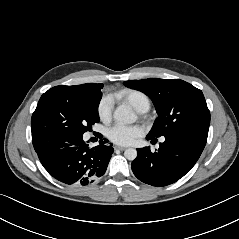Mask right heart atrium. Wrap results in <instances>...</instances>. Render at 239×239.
I'll return each mask as SVG.
<instances>
[{
  "mask_svg": "<svg viewBox=\"0 0 239 239\" xmlns=\"http://www.w3.org/2000/svg\"><path fill=\"white\" fill-rule=\"evenodd\" d=\"M97 114L101 121L108 122L112 114V99L103 97L98 104Z\"/></svg>",
  "mask_w": 239,
  "mask_h": 239,
  "instance_id": "obj_1",
  "label": "right heart atrium"
}]
</instances>
